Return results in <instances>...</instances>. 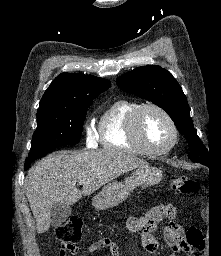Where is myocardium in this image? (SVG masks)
<instances>
[{
	"mask_svg": "<svg viewBox=\"0 0 221 256\" xmlns=\"http://www.w3.org/2000/svg\"><path fill=\"white\" fill-rule=\"evenodd\" d=\"M148 109H154L158 112H160L168 121L171 131H172V139L170 141V143L163 147V148H152L150 147L146 141L144 140L143 136H142V132H141V120H142V116L144 114V112ZM128 135L130 140L135 143L136 145H138L145 154L148 155H155V156H159V155H164L167 154L168 152H170L175 145L178 142V138H179V132H178V128L176 125L175 120L173 119V117L171 116V114L162 106L155 104V103H147V104H142L132 115V117L130 118L129 121V125H128Z\"/></svg>",
	"mask_w": 221,
	"mask_h": 256,
	"instance_id": "myocardium-1",
	"label": "myocardium"
}]
</instances>
